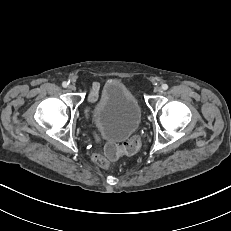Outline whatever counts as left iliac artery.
I'll return each instance as SVG.
<instances>
[{
  "label": "left iliac artery",
  "mask_w": 231,
  "mask_h": 231,
  "mask_svg": "<svg viewBox=\"0 0 231 231\" xmlns=\"http://www.w3.org/2000/svg\"><path fill=\"white\" fill-rule=\"evenodd\" d=\"M162 89L163 90H167L168 89V85L167 84H162Z\"/></svg>",
  "instance_id": "left-iliac-artery-1"
}]
</instances>
